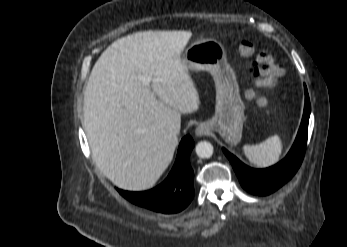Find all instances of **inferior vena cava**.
I'll list each match as a JSON object with an SVG mask.
<instances>
[{
    "label": "inferior vena cava",
    "instance_id": "1",
    "mask_svg": "<svg viewBox=\"0 0 347 247\" xmlns=\"http://www.w3.org/2000/svg\"><path fill=\"white\" fill-rule=\"evenodd\" d=\"M179 131H180V127L173 126L172 132H173L174 134H178Z\"/></svg>",
    "mask_w": 347,
    "mask_h": 247
}]
</instances>
